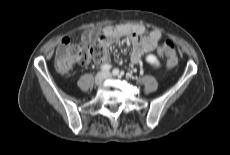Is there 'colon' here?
Here are the masks:
<instances>
[{"label":"colon","mask_w":230,"mask_h":155,"mask_svg":"<svg viewBox=\"0 0 230 155\" xmlns=\"http://www.w3.org/2000/svg\"><path fill=\"white\" fill-rule=\"evenodd\" d=\"M167 57L162 59L161 65L164 70L170 71L178 66V58L172 41L165 42ZM105 54V48L100 43H69L62 41L55 56V65L62 73H67L73 63H87L90 60H100Z\"/></svg>","instance_id":"colon-1"}]
</instances>
